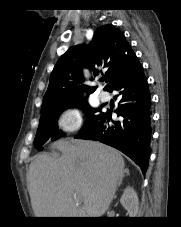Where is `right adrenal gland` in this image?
Returning a JSON list of instances; mask_svg holds the SVG:
<instances>
[{
	"mask_svg": "<svg viewBox=\"0 0 181 227\" xmlns=\"http://www.w3.org/2000/svg\"><path fill=\"white\" fill-rule=\"evenodd\" d=\"M124 172H125L127 175H129V170H128L127 168L124 170ZM121 184H122V181H120V182L118 183V187H119Z\"/></svg>",
	"mask_w": 181,
	"mask_h": 227,
	"instance_id": "1",
	"label": "right adrenal gland"
}]
</instances>
